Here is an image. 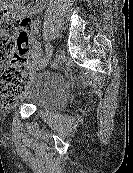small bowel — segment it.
Segmentation results:
<instances>
[{
    "instance_id": "c3829d8e",
    "label": "small bowel",
    "mask_w": 133,
    "mask_h": 173,
    "mask_svg": "<svg viewBox=\"0 0 133 173\" xmlns=\"http://www.w3.org/2000/svg\"><path fill=\"white\" fill-rule=\"evenodd\" d=\"M33 30L34 31L37 30V25H33ZM30 44H31V49L28 52L26 60L23 63L25 68H29V67L33 66L41 56V51H40L38 41L34 38H31Z\"/></svg>"
}]
</instances>
